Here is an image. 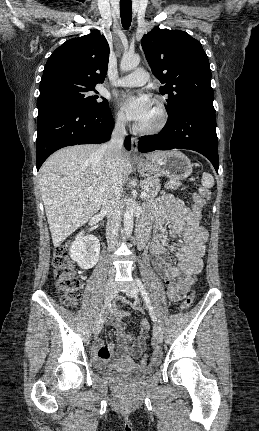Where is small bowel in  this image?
<instances>
[{
	"label": "small bowel",
	"mask_w": 259,
	"mask_h": 431,
	"mask_svg": "<svg viewBox=\"0 0 259 431\" xmlns=\"http://www.w3.org/2000/svg\"><path fill=\"white\" fill-rule=\"evenodd\" d=\"M153 213L156 222L155 238L151 245V264L162 276L170 301L177 302L186 295L203 269L208 233L199 220L194 219L192 208L169 194L158 199ZM167 226L170 229V242L164 239ZM170 252L173 253V258L169 255ZM112 315L113 325L118 332V347L115 350L112 343L104 344L97 340V361L106 363L116 358L129 362L131 358L138 359L145 349L149 322L146 319L140 321V333L135 338L126 331L122 320L129 315L128 312L114 308Z\"/></svg>",
	"instance_id": "c3829d8e"
}]
</instances>
